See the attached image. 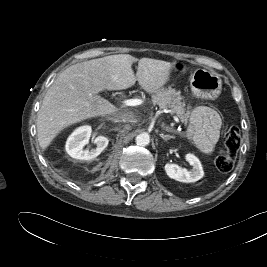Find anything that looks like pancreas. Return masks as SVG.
Returning a JSON list of instances; mask_svg holds the SVG:
<instances>
[{"mask_svg":"<svg viewBox=\"0 0 267 267\" xmlns=\"http://www.w3.org/2000/svg\"><path fill=\"white\" fill-rule=\"evenodd\" d=\"M181 100L182 97L179 93L171 88L160 89L152 96L154 104L159 105L162 109H170L184 124H187L190 118V111Z\"/></svg>","mask_w":267,"mask_h":267,"instance_id":"obj_1","label":"pancreas"}]
</instances>
